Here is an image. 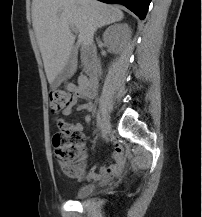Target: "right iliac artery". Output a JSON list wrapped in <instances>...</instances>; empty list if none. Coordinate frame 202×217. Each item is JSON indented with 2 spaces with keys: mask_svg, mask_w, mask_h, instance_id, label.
I'll use <instances>...</instances> for the list:
<instances>
[{
  "mask_svg": "<svg viewBox=\"0 0 202 217\" xmlns=\"http://www.w3.org/2000/svg\"><path fill=\"white\" fill-rule=\"evenodd\" d=\"M101 129V122H100V118L98 116V119H97V131L99 132Z\"/></svg>",
  "mask_w": 202,
  "mask_h": 217,
  "instance_id": "right-iliac-artery-1",
  "label": "right iliac artery"
}]
</instances>
